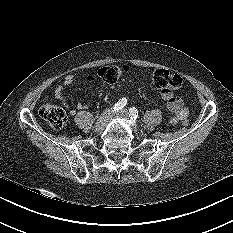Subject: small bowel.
<instances>
[{"label":"small bowel","instance_id":"small-bowel-1","mask_svg":"<svg viewBox=\"0 0 233 233\" xmlns=\"http://www.w3.org/2000/svg\"><path fill=\"white\" fill-rule=\"evenodd\" d=\"M73 81V75L65 76L62 83L55 89L54 92L56 99H58L64 107L69 109V113L71 115H75L78 110H84L88 108V105L85 103H78L76 106H70L69 101L65 96L64 89L65 87L72 84ZM161 96L167 102V108L174 114L170 120L172 124H178L184 120H187L189 111L181 98L175 96L170 91H161Z\"/></svg>","mask_w":233,"mask_h":233}]
</instances>
